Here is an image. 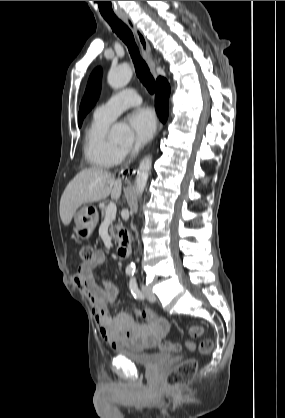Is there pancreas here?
I'll list each match as a JSON object with an SVG mask.
<instances>
[{"instance_id": "cf45deb5", "label": "pancreas", "mask_w": 285, "mask_h": 418, "mask_svg": "<svg viewBox=\"0 0 285 418\" xmlns=\"http://www.w3.org/2000/svg\"><path fill=\"white\" fill-rule=\"evenodd\" d=\"M106 209H107L106 206L102 207V209H101L102 210V217H105ZM121 228H122V223L119 222L117 225H113V223H111L109 231H110L112 236H115V231L119 230Z\"/></svg>"}]
</instances>
